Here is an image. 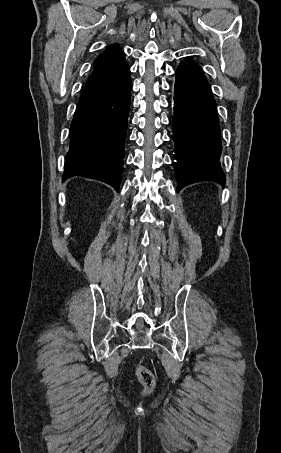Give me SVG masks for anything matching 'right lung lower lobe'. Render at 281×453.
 <instances>
[{"instance_id": "right-lung-lower-lobe-1", "label": "right lung lower lobe", "mask_w": 281, "mask_h": 453, "mask_svg": "<svg viewBox=\"0 0 281 453\" xmlns=\"http://www.w3.org/2000/svg\"><path fill=\"white\" fill-rule=\"evenodd\" d=\"M130 91V69L123 51L94 66L71 123L63 181L82 176L119 190Z\"/></svg>"}]
</instances>
